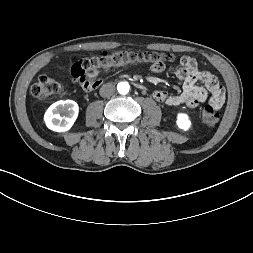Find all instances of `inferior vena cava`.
Segmentation results:
<instances>
[{
	"label": "inferior vena cava",
	"mask_w": 253,
	"mask_h": 253,
	"mask_svg": "<svg viewBox=\"0 0 253 253\" xmlns=\"http://www.w3.org/2000/svg\"><path fill=\"white\" fill-rule=\"evenodd\" d=\"M114 92H115V86L113 84H110V83L104 84L100 88V95L102 97H110L114 94Z\"/></svg>",
	"instance_id": "inferior-vena-cava-1"
}]
</instances>
